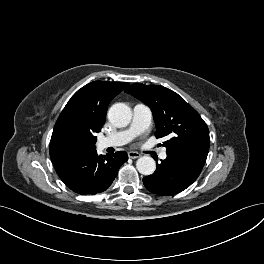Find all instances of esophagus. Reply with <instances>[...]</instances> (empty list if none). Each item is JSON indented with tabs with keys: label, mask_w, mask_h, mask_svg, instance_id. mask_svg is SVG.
<instances>
[{
	"label": "esophagus",
	"mask_w": 264,
	"mask_h": 264,
	"mask_svg": "<svg viewBox=\"0 0 264 264\" xmlns=\"http://www.w3.org/2000/svg\"><path fill=\"white\" fill-rule=\"evenodd\" d=\"M128 156L129 158L136 159V158H139L141 154L138 152L130 151L128 152Z\"/></svg>",
	"instance_id": "obj_1"
}]
</instances>
